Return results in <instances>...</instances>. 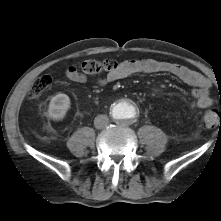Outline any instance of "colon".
Returning a JSON list of instances; mask_svg holds the SVG:
<instances>
[{
  "instance_id": "obj_1",
  "label": "colon",
  "mask_w": 221,
  "mask_h": 221,
  "mask_svg": "<svg viewBox=\"0 0 221 221\" xmlns=\"http://www.w3.org/2000/svg\"><path fill=\"white\" fill-rule=\"evenodd\" d=\"M119 64L114 59H87L82 61L78 68L86 75L96 76L101 74H109L118 68ZM53 84L50 76H41L31 85L28 95L31 98L40 96L47 91ZM201 124L205 128H214L221 126V113L215 109H208L201 116Z\"/></svg>"
}]
</instances>
